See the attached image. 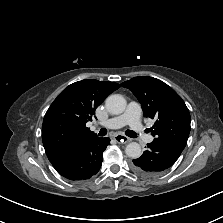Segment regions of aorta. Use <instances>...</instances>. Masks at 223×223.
Returning a JSON list of instances; mask_svg holds the SVG:
<instances>
[{
    "mask_svg": "<svg viewBox=\"0 0 223 223\" xmlns=\"http://www.w3.org/2000/svg\"><path fill=\"white\" fill-rule=\"evenodd\" d=\"M106 108L111 114H121L125 111L127 102L125 98L120 94L110 95L106 99ZM125 153L128 157L137 159L142 155L140 144L137 142L129 143L125 148Z\"/></svg>",
    "mask_w": 223,
    "mask_h": 223,
    "instance_id": "762f6f07",
    "label": "aorta"
}]
</instances>
